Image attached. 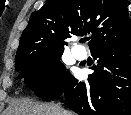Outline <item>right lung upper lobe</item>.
I'll use <instances>...</instances> for the list:
<instances>
[{
	"mask_svg": "<svg viewBox=\"0 0 131 115\" xmlns=\"http://www.w3.org/2000/svg\"><path fill=\"white\" fill-rule=\"evenodd\" d=\"M91 33V53L131 40L125 0H50L34 12L22 33L15 63L32 53L63 52L66 40Z\"/></svg>",
	"mask_w": 131,
	"mask_h": 115,
	"instance_id": "obj_1",
	"label": "right lung upper lobe"
}]
</instances>
